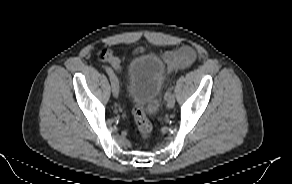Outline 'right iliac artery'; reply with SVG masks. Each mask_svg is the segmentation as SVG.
I'll return each mask as SVG.
<instances>
[{"instance_id": "right-iliac-artery-1", "label": "right iliac artery", "mask_w": 292, "mask_h": 184, "mask_svg": "<svg viewBox=\"0 0 292 184\" xmlns=\"http://www.w3.org/2000/svg\"><path fill=\"white\" fill-rule=\"evenodd\" d=\"M105 70L110 77L114 75L113 70L110 67H105Z\"/></svg>"}]
</instances>
